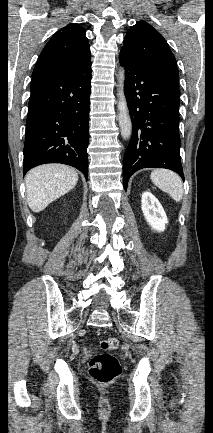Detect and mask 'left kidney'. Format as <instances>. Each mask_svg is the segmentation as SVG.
I'll list each match as a JSON object with an SVG mask.
<instances>
[{
  "label": "left kidney",
  "instance_id": "obj_1",
  "mask_svg": "<svg viewBox=\"0 0 213 433\" xmlns=\"http://www.w3.org/2000/svg\"><path fill=\"white\" fill-rule=\"evenodd\" d=\"M141 203L143 215L151 228L163 232L168 219L158 199L152 193L146 191L142 194Z\"/></svg>",
  "mask_w": 213,
  "mask_h": 433
}]
</instances>
